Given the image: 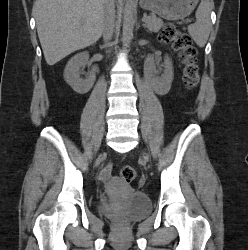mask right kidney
Returning a JSON list of instances; mask_svg holds the SVG:
<instances>
[{"instance_id":"obj_1","label":"right kidney","mask_w":248,"mask_h":250,"mask_svg":"<svg viewBox=\"0 0 248 250\" xmlns=\"http://www.w3.org/2000/svg\"><path fill=\"white\" fill-rule=\"evenodd\" d=\"M89 59L88 52H81L73 56L64 70V79L67 84L78 94H85L93 87L96 80L97 69L93 68L86 79L80 77V69L84 67Z\"/></svg>"}]
</instances>
